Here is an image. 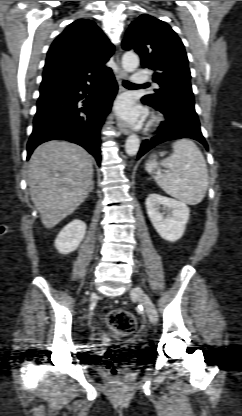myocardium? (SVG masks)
<instances>
[{
	"mask_svg": "<svg viewBox=\"0 0 242 416\" xmlns=\"http://www.w3.org/2000/svg\"><path fill=\"white\" fill-rule=\"evenodd\" d=\"M157 122H158V119L155 118V117L152 118L151 121H150L151 124H156Z\"/></svg>",
	"mask_w": 242,
	"mask_h": 416,
	"instance_id": "obj_1",
	"label": "myocardium"
}]
</instances>
